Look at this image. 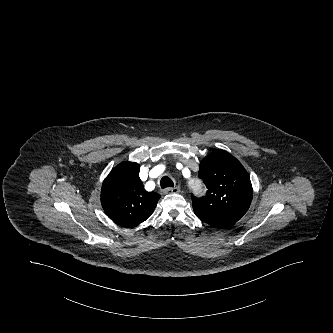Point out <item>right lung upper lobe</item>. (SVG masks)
I'll return each instance as SVG.
<instances>
[{"label":"right lung upper lobe","mask_w":333,"mask_h":333,"mask_svg":"<svg viewBox=\"0 0 333 333\" xmlns=\"http://www.w3.org/2000/svg\"><path fill=\"white\" fill-rule=\"evenodd\" d=\"M139 164L123 162L104 180L101 203L105 213L123 226L139 224L154 212L160 195L147 192L139 178Z\"/></svg>","instance_id":"cb5924a9"}]
</instances>
